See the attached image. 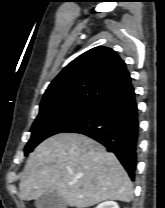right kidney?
Returning <instances> with one entry per match:
<instances>
[{"mask_svg":"<svg viewBox=\"0 0 165 208\" xmlns=\"http://www.w3.org/2000/svg\"><path fill=\"white\" fill-rule=\"evenodd\" d=\"M96 208H119V206L114 201H105L99 204Z\"/></svg>","mask_w":165,"mask_h":208,"instance_id":"ca27d5eb","label":"right kidney"}]
</instances>
